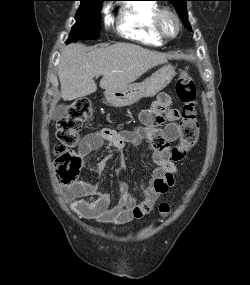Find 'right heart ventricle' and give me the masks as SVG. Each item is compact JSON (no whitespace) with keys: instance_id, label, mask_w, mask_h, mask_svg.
<instances>
[{"instance_id":"obj_1","label":"right heart ventricle","mask_w":250,"mask_h":285,"mask_svg":"<svg viewBox=\"0 0 250 285\" xmlns=\"http://www.w3.org/2000/svg\"><path fill=\"white\" fill-rule=\"evenodd\" d=\"M159 5L151 0H135L127 3L120 11L118 31L125 38L147 46L163 44L153 29V18Z\"/></svg>"}]
</instances>
